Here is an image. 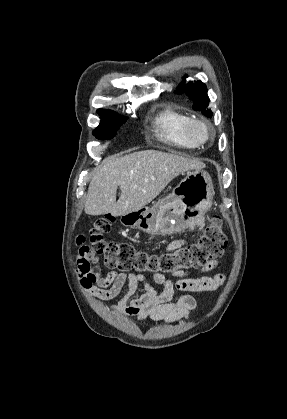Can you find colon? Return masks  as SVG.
<instances>
[{
    "instance_id": "obj_1",
    "label": "colon",
    "mask_w": 287,
    "mask_h": 419,
    "mask_svg": "<svg viewBox=\"0 0 287 419\" xmlns=\"http://www.w3.org/2000/svg\"><path fill=\"white\" fill-rule=\"evenodd\" d=\"M114 217L110 214L98 218L89 232L90 251L102 256L109 268L137 273H174L205 267L219 258L227 247L221 219L212 216L203 235L194 243L164 254L150 253L126 243L108 242L104 235L109 232Z\"/></svg>"
}]
</instances>
